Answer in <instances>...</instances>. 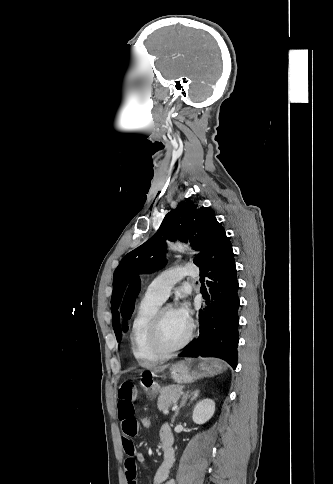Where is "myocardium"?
Here are the masks:
<instances>
[{"label":"myocardium","mask_w":333,"mask_h":484,"mask_svg":"<svg viewBox=\"0 0 333 484\" xmlns=\"http://www.w3.org/2000/svg\"><path fill=\"white\" fill-rule=\"evenodd\" d=\"M168 308H160L158 311L155 313L150 329H149V344L151 349L153 350L154 353L159 355L160 357H168L181 349H183L192 339L193 337V324L190 322L189 323V329L187 332L186 337L183 339L182 342H180L178 345L174 347H167L164 344L163 337H162V322H163V316L164 312Z\"/></svg>","instance_id":"1"}]
</instances>
